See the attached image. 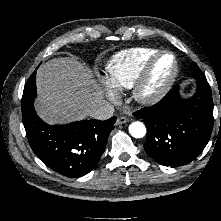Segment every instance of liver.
Wrapping results in <instances>:
<instances>
[{"label":"liver","mask_w":221,"mask_h":221,"mask_svg":"<svg viewBox=\"0 0 221 221\" xmlns=\"http://www.w3.org/2000/svg\"><path fill=\"white\" fill-rule=\"evenodd\" d=\"M37 114L48 124L83 120L99 103L103 91L91 72L76 59L55 58L37 71Z\"/></svg>","instance_id":"liver-1"}]
</instances>
